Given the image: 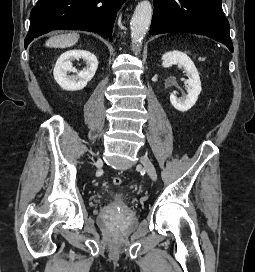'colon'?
<instances>
[{
    "mask_svg": "<svg viewBox=\"0 0 255 272\" xmlns=\"http://www.w3.org/2000/svg\"><path fill=\"white\" fill-rule=\"evenodd\" d=\"M112 182L115 186H120L122 184V179L120 177L116 176L112 179Z\"/></svg>",
    "mask_w": 255,
    "mask_h": 272,
    "instance_id": "obj_1",
    "label": "colon"
}]
</instances>
